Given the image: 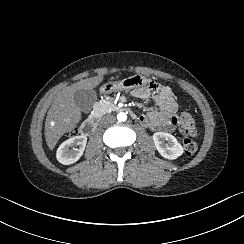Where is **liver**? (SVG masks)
Listing matches in <instances>:
<instances>
[{
	"mask_svg": "<svg viewBox=\"0 0 244 244\" xmlns=\"http://www.w3.org/2000/svg\"><path fill=\"white\" fill-rule=\"evenodd\" d=\"M102 79V76L83 79L58 92L45 121V139L50 150H53L62 135L71 131L81 119V110L74 102L75 92L81 89H92Z\"/></svg>",
	"mask_w": 244,
	"mask_h": 244,
	"instance_id": "6515ba94",
	"label": "liver"
}]
</instances>
